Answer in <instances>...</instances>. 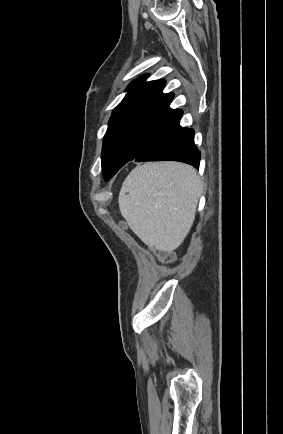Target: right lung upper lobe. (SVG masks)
Here are the masks:
<instances>
[{"label": "right lung upper lobe", "mask_w": 283, "mask_h": 434, "mask_svg": "<svg viewBox=\"0 0 283 434\" xmlns=\"http://www.w3.org/2000/svg\"><path fill=\"white\" fill-rule=\"evenodd\" d=\"M146 77L144 75L129 85L128 94L114 109L110 120L132 115H149L174 121L181 118L180 109L170 108L174 94L163 93L165 80L146 82Z\"/></svg>", "instance_id": "obj_1"}]
</instances>
